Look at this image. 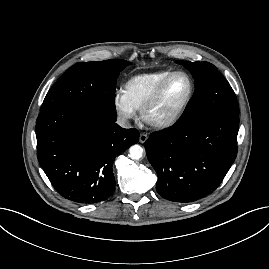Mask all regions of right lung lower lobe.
<instances>
[{
	"label": "right lung lower lobe",
	"instance_id": "right-lung-lower-lobe-1",
	"mask_svg": "<svg viewBox=\"0 0 269 269\" xmlns=\"http://www.w3.org/2000/svg\"><path fill=\"white\" fill-rule=\"evenodd\" d=\"M98 114L69 106L40 111L36 121L37 157L57 192L81 204L107 200L115 189V157L139 140Z\"/></svg>",
	"mask_w": 269,
	"mask_h": 269
}]
</instances>
